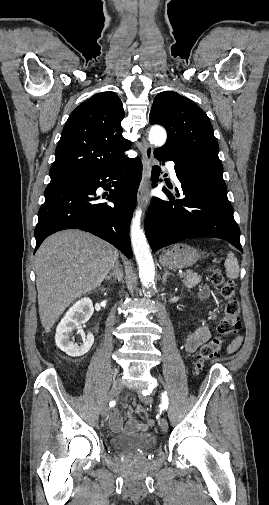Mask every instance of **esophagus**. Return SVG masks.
Returning a JSON list of instances; mask_svg holds the SVG:
<instances>
[{
  "label": "esophagus",
  "mask_w": 269,
  "mask_h": 505,
  "mask_svg": "<svg viewBox=\"0 0 269 505\" xmlns=\"http://www.w3.org/2000/svg\"><path fill=\"white\" fill-rule=\"evenodd\" d=\"M153 158V147L143 140V174L142 180L138 188L137 200L139 203H147L149 200V187L147 185V179L150 173V164Z\"/></svg>",
  "instance_id": "esophagus-1"
}]
</instances>
